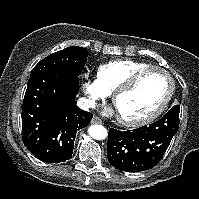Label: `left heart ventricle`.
<instances>
[{"instance_id":"b2bd125f","label":"left heart ventricle","mask_w":199,"mask_h":199,"mask_svg":"<svg viewBox=\"0 0 199 199\" xmlns=\"http://www.w3.org/2000/svg\"><path fill=\"white\" fill-rule=\"evenodd\" d=\"M169 90L167 77L158 71L146 73L128 93L119 97V115L137 119L152 113L163 102Z\"/></svg>"}]
</instances>
